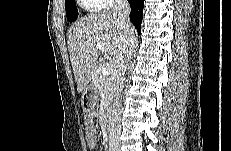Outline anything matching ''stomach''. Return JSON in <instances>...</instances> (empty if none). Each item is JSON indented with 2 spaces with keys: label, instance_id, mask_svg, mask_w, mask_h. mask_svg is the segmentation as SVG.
Segmentation results:
<instances>
[{
  "label": "stomach",
  "instance_id": "stomach-1",
  "mask_svg": "<svg viewBox=\"0 0 231 151\" xmlns=\"http://www.w3.org/2000/svg\"><path fill=\"white\" fill-rule=\"evenodd\" d=\"M97 100V91L93 87H88L81 97V104L85 110L94 108Z\"/></svg>",
  "mask_w": 231,
  "mask_h": 151
}]
</instances>
